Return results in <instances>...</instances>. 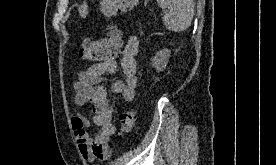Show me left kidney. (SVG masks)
Segmentation results:
<instances>
[{"label": "left kidney", "mask_w": 276, "mask_h": 165, "mask_svg": "<svg viewBox=\"0 0 276 165\" xmlns=\"http://www.w3.org/2000/svg\"><path fill=\"white\" fill-rule=\"evenodd\" d=\"M170 57V50L167 48L160 50L156 53V55L152 59L153 67L157 70V72L163 71Z\"/></svg>", "instance_id": "5707ae66"}]
</instances>
